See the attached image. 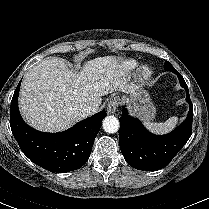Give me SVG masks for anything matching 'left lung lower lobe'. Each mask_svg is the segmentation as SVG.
<instances>
[{"mask_svg": "<svg viewBox=\"0 0 209 209\" xmlns=\"http://www.w3.org/2000/svg\"><path fill=\"white\" fill-rule=\"evenodd\" d=\"M173 72L186 90L189 112L186 120L171 133L164 136L151 134L138 119L129 116L123 109L120 118V149L126 162L138 170L155 171L167 166L192 134L193 105L188 86L178 71Z\"/></svg>", "mask_w": 209, "mask_h": 209, "instance_id": "left-lung-lower-lobe-1", "label": "left lung lower lobe"}]
</instances>
